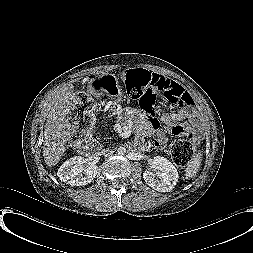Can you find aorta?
<instances>
[{"label":"aorta","mask_w":253,"mask_h":253,"mask_svg":"<svg viewBox=\"0 0 253 253\" xmlns=\"http://www.w3.org/2000/svg\"><path fill=\"white\" fill-rule=\"evenodd\" d=\"M116 152H117L118 155L122 156V155L125 154L126 150H125L124 147L121 146V147H119V148L117 149Z\"/></svg>","instance_id":"1"}]
</instances>
